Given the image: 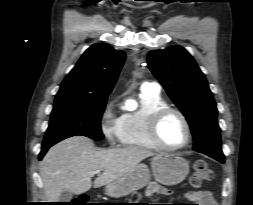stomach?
<instances>
[{"label": "stomach", "mask_w": 253, "mask_h": 205, "mask_svg": "<svg viewBox=\"0 0 253 205\" xmlns=\"http://www.w3.org/2000/svg\"><path fill=\"white\" fill-rule=\"evenodd\" d=\"M151 169L157 182L171 186L181 183L186 178L189 163L180 156L158 154L151 159ZM150 179L147 165L139 163L129 173L106 185L105 193L110 197H123L143 188Z\"/></svg>", "instance_id": "0dacf381"}]
</instances>
